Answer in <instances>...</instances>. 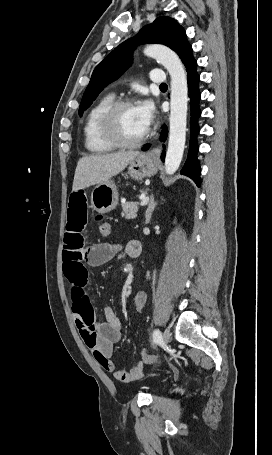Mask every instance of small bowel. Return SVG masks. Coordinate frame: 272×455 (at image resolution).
<instances>
[{"mask_svg":"<svg viewBox=\"0 0 272 455\" xmlns=\"http://www.w3.org/2000/svg\"><path fill=\"white\" fill-rule=\"evenodd\" d=\"M86 223V196L79 190L70 196L63 247L64 275L70 284L72 315L82 339L99 365L119 381H135L144 376L143 363L129 371L116 367L111 358L115 343L121 339L122 322L109 306L104 308L102 321L95 318L87 285L90 267L124 255L136 258L141 254V244L130 240L124 247L112 243L87 246L84 238ZM146 301V292H136L132 300L133 308L136 311L143 310Z\"/></svg>","mask_w":272,"mask_h":455,"instance_id":"c3829d8e","label":"small bowel"}]
</instances>
